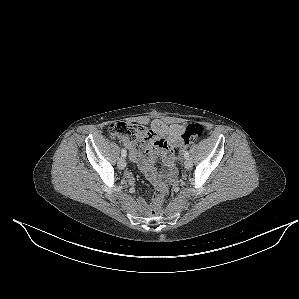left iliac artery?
<instances>
[{
	"mask_svg": "<svg viewBox=\"0 0 299 299\" xmlns=\"http://www.w3.org/2000/svg\"><path fill=\"white\" fill-rule=\"evenodd\" d=\"M184 157H185L186 159L189 158V152H188V151H185V153H184Z\"/></svg>",
	"mask_w": 299,
	"mask_h": 299,
	"instance_id": "44dca946",
	"label": "left iliac artery"
}]
</instances>
